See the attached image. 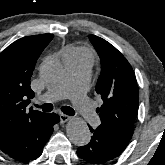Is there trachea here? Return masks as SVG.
I'll use <instances>...</instances> for the list:
<instances>
[{"label": "trachea", "mask_w": 165, "mask_h": 165, "mask_svg": "<svg viewBox=\"0 0 165 165\" xmlns=\"http://www.w3.org/2000/svg\"><path fill=\"white\" fill-rule=\"evenodd\" d=\"M35 106L38 108H41L42 111H44V112H51L53 110V105L51 103H45L42 106H39V105H35ZM61 111L64 114H67L70 116L75 115V111L71 107H68V106L61 107Z\"/></svg>", "instance_id": "3493384b"}]
</instances>
